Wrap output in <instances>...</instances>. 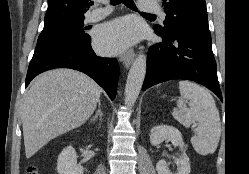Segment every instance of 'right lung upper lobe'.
I'll return each mask as SVG.
<instances>
[{
	"label": "right lung upper lobe",
	"instance_id": "right-lung-upper-lobe-1",
	"mask_svg": "<svg viewBox=\"0 0 249 174\" xmlns=\"http://www.w3.org/2000/svg\"><path fill=\"white\" fill-rule=\"evenodd\" d=\"M90 0H48L44 26L84 18Z\"/></svg>",
	"mask_w": 249,
	"mask_h": 174
}]
</instances>
